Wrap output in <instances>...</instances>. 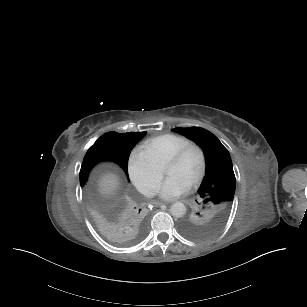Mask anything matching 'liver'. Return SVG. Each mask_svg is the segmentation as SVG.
I'll return each mask as SVG.
<instances>
[{
	"label": "liver",
	"mask_w": 307,
	"mask_h": 307,
	"mask_svg": "<svg viewBox=\"0 0 307 307\" xmlns=\"http://www.w3.org/2000/svg\"><path fill=\"white\" fill-rule=\"evenodd\" d=\"M119 186L118 176L113 173H106L99 181V191L103 195H112Z\"/></svg>",
	"instance_id": "obj_1"
}]
</instances>
